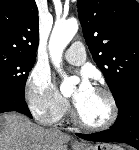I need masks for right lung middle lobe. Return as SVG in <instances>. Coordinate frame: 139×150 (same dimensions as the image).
<instances>
[{
  "mask_svg": "<svg viewBox=\"0 0 139 150\" xmlns=\"http://www.w3.org/2000/svg\"><path fill=\"white\" fill-rule=\"evenodd\" d=\"M35 57L0 51V90L25 96V83Z\"/></svg>",
  "mask_w": 139,
  "mask_h": 150,
  "instance_id": "right-lung-middle-lobe-1",
  "label": "right lung middle lobe"
}]
</instances>
